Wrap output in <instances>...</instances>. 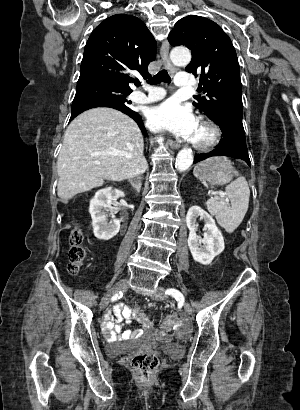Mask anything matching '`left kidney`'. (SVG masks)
Instances as JSON below:
<instances>
[{"instance_id":"obj_1","label":"left kidney","mask_w":300,"mask_h":410,"mask_svg":"<svg viewBox=\"0 0 300 410\" xmlns=\"http://www.w3.org/2000/svg\"><path fill=\"white\" fill-rule=\"evenodd\" d=\"M198 217L205 222L206 232L203 239H199L196 234ZM186 224L189 229L188 246L193 259L203 265H209L224 250V238L215 220L199 206H192L187 212Z\"/></svg>"}]
</instances>
